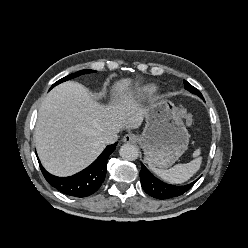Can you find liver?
Segmentation results:
<instances>
[{
	"mask_svg": "<svg viewBox=\"0 0 248 248\" xmlns=\"http://www.w3.org/2000/svg\"><path fill=\"white\" fill-rule=\"evenodd\" d=\"M131 85L130 78L117 81L114 98L106 106L77 82L62 83L47 94L39 108L34 141L48 172L70 176L81 171L104 150L105 135L142 124L145 112L134 100Z\"/></svg>",
	"mask_w": 248,
	"mask_h": 248,
	"instance_id": "1",
	"label": "liver"
}]
</instances>
